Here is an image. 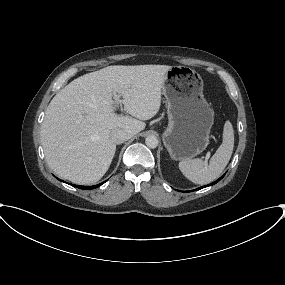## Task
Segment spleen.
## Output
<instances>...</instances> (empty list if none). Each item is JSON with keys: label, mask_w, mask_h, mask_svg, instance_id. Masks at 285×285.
<instances>
[{"label": "spleen", "mask_w": 285, "mask_h": 285, "mask_svg": "<svg viewBox=\"0 0 285 285\" xmlns=\"http://www.w3.org/2000/svg\"><path fill=\"white\" fill-rule=\"evenodd\" d=\"M234 147V130L230 121L223 128V141L206 165L201 159L184 160L179 163L183 175L195 184H207L220 176L227 166Z\"/></svg>", "instance_id": "spleen-1"}]
</instances>
